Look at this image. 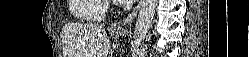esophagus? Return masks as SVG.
<instances>
[{
  "instance_id": "obj_1",
  "label": "esophagus",
  "mask_w": 249,
  "mask_h": 57,
  "mask_svg": "<svg viewBox=\"0 0 249 57\" xmlns=\"http://www.w3.org/2000/svg\"><path fill=\"white\" fill-rule=\"evenodd\" d=\"M143 2H144V0H140L139 3L137 4V6L132 11V13H130L123 20L113 24L110 29L113 30V31H122V30H124L125 27L128 26L134 20V18L136 17L138 11L141 8Z\"/></svg>"
}]
</instances>
